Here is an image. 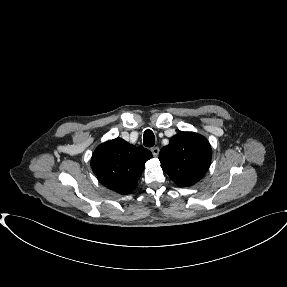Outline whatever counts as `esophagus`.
Wrapping results in <instances>:
<instances>
[{"label": "esophagus", "mask_w": 287, "mask_h": 287, "mask_svg": "<svg viewBox=\"0 0 287 287\" xmlns=\"http://www.w3.org/2000/svg\"><path fill=\"white\" fill-rule=\"evenodd\" d=\"M151 152H152L154 157H157L159 155L160 150L158 147H153V148H151Z\"/></svg>", "instance_id": "obj_1"}]
</instances>
